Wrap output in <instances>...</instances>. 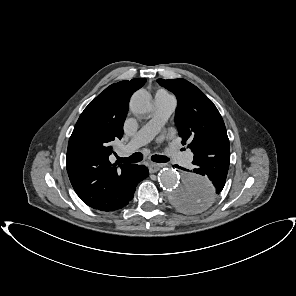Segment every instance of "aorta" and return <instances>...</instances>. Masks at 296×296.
<instances>
[{"mask_svg":"<svg viewBox=\"0 0 296 296\" xmlns=\"http://www.w3.org/2000/svg\"><path fill=\"white\" fill-rule=\"evenodd\" d=\"M131 110L147 115L152 108V98L144 90L135 92L130 101ZM158 181L168 202L176 208L197 213L207 209L214 196L213 186L203 175L187 170L174 171L164 168Z\"/></svg>","mask_w":296,"mask_h":296,"instance_id":"aorta-1","label":"aorta"}]
</instances>
